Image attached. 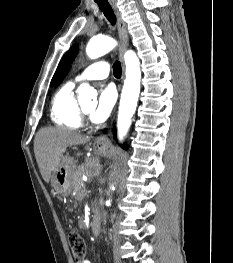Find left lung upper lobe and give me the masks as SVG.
I'll use <instances>...</instances> for the list:
<instances>
[{
    "label": "left lung upper lobe",
    "mask_w": 233,
    "mask_h": 263,
    "mask_svg": "<svg viewBox=\"0 0 233 263\" xmlns=\"http://www.w3.org/2000/svg\"><path fill=\"white\" fill-rule=\"evenodd\" d=\"M78 52V47L77 45H73L69 51H67L65 53V55L62 57L58 67H57V70L51 80V86H53L55 80L57 79L58 75L64 70V68L70 63L73 61V59L75 58L76 54Z\"/></svg>",
    "instance_id": "5c2ea615"
}]
</instances>
